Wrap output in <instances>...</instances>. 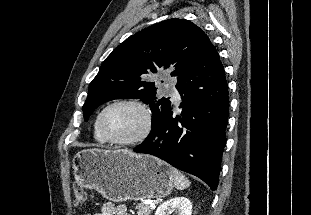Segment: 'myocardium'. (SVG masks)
Listing matches in <instances>:
<instances>
[{"mask_svg":"<svg viewBox=\"0 0 311 215\" xmlns=\"http://www.w3.org/2000/svg\"><path fill=\"white\" fill-rule=\"evenodd\" d=\"M117 105H132V106L137 107L142 112L144 116V125H143L141 132L135 137H132L129 139H117V138H113L109 136L106 133L104 126H103L104 116L110 108L117 106ZM97 125H98L100 134L106 140V142H109L115 145H121V146H133V145H137L143 142L149 136L152 130V114L148 106L144 102L138 99H132V98L118 99V100H115L109 103L107 106H105L101 110V112L98 115Z\"/></svg>","mask_w":311,"mask_h":215,"instance_id":"f54148a6","label":"myocardium"}]
</instances>
